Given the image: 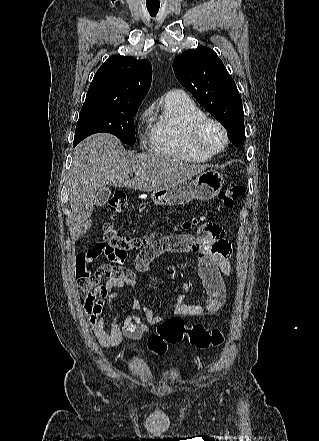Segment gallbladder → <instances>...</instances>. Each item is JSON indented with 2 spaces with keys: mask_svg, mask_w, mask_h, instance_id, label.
<instances>
[{
  "mask_svg": "<svg viewBox=\"0 0 319 441\" xmlns=\"http://www.w3.org/2000/svg\"><path fill=\"white\" fill-rule=\"evenodd\" d=\"M110 197L111 189L108 187H101L97 192L94 203L96 206H103L107 203Z\"/></svg>",
  "mask_w": 319,
  "mask_h": 441,
  "instance_id": "bac80fb5",
  "label": "gallbladder"
}]
</instances>
